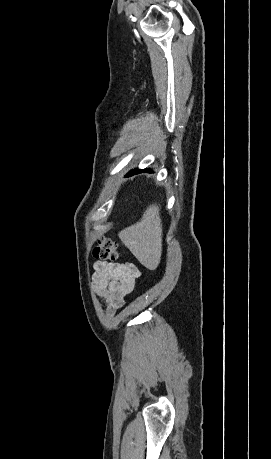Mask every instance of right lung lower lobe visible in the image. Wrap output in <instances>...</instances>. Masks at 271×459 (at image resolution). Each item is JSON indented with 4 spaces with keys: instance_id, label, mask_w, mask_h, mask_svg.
Segmentation results:
<instances>
[{
    "instance_id": "right-lung-lower-lobe-1",
    "label": "right lung lower lobe",
    "mask_w": 271,
    "mask_h": 459,
    "mask_svg": "<svg viewBox=\"0 0 271 459\" xmlns=\"http://www.w3.org/2000/svg\"><path fill=\"white\" fill-rule=\"evenodd\" d=\"M140 172H151V170H148V169H145V170H132L126 176H131L133 174L140 173Z\"/></svg>"
}]
</instances>
